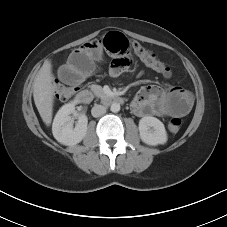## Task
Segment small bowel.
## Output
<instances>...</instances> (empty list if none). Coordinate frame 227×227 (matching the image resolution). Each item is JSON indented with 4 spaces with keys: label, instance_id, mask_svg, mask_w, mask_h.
<instances>
[{
    "label": "small bowel",
    "instance_id": "1",
    "mask_svg": "<svg viewBox=\"0 0 227 227\" xmlns=\"http://www.w3.org/2000/svg\"><path fill=\"white\" fill-rule=\"evenodd\" d=\"M103 57L101 49L93 51L78 50L71 54L67 62L57 69L58 79L67 86L81 85L98 71L97 61ZM133 62L128 57L116 58L111 63L110 75L118 77L130 69ZM191 94L180 88L167 90L157 85L143 86L136 94L132 109L137 116H184L192 107Z\"/></svg>",
    "mask_w": 227,
    "mask_h": 227
}]
</instances>
